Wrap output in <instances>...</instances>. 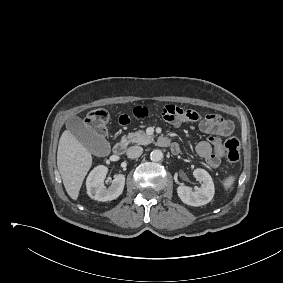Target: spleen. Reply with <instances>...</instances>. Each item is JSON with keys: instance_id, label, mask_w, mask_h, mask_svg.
<instances>
[{"instance_id": "1", "label": "spleen", "mask_w": 283, "mask_h": 283, "mask_svg": "<svg viewBox=\"0 0 283 283\" xmlns=\"http://www.w3.org/2000/svg\"><path fill=\"white\" fill-rule=\"evenodd\" d=\"M235 178L233 176H229L228 178H226L223 182V186L226 190H228L229 188H231V186L234 183Z\"/></svg>"}]
</instances>
